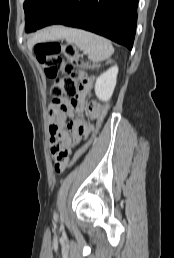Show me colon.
<instances>
[{"mask_svg":"<svg viewBox=\"0 0 174 258\" xmlns=\"http://www.w3.org/2000/svg\"><path fill=\"white\" fill-rule=\"evenodd\" d=\"M34 51L46 76L52 80L50 94L53 99H59L62 95L75 97L78 91V73L75 68H91L93 65L81 60L76 47L70 43L43 42L36 44ZM108 111V103L100 106L94 132L87 143L75 153L70 162V167L78 164L83 158L99 132Z\"/></svg>","mask_w":174,"mask_h":258,"instance_id":"colon-1","label":"colon"}]
</instances>
